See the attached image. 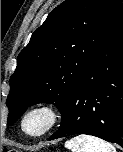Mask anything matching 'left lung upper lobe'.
Listing matches in <instances>:
<instances>
[{"label":"left lung upper lobe","mask_w":123,"mask_h":152,"mask_svg":"<svg viewBox=\"0 0 123 152\" xmlns=\"http://www.w3.org/2000/svg\"><path fill=\"white\" fill-rule=\"evenodd\" d=\"M121 8L120 0H66L48 15L10 78L8 125L37 103L62 111Z\"/></svg>","instance_id":"5c2ea615"}]
</instances>
